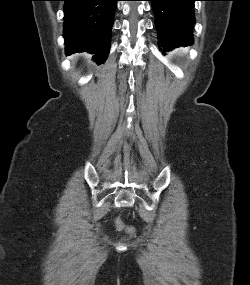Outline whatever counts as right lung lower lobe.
Instances as JSON below:
<instances>
[{"mask_svg": "<svg viewBox=\"0 0 250 285\" xmlns=\"http://www.w3.org/2000/svg\"><path fill=\"white\" fill-rule=\"evenodd\" d=\"M66 54L87 51L101 64L108 56L118 0H62Z\"/></svg>", "mask_w": 250, "mask_h": 285, "instance_id": "98d812e1", "label": "right lung lower lobe"}]
</instances>
